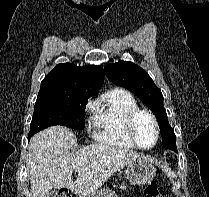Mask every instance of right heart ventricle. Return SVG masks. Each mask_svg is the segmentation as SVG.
<instances>
[{"label": "right heart ventricle", "mask_w": 209, "mask_h": 197, "mask_svg": "<svg viewBox=\"0 0 209 197\" xmlns=\"http://www.w3.org/2000/svg\"><path fill=\"white\" fill-rule=\"evenodd\" d=\"M138 108L135 97L125 89H113L96 104L92 124L97 140L120 148L133 149L127 133V119Z\"/></svg>", "instance_id": "1"}]
</instances>
